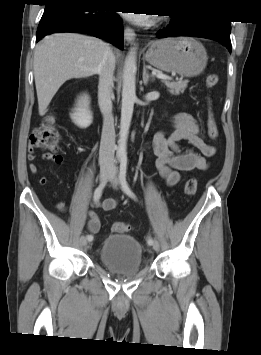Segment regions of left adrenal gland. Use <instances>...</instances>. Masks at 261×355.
<instances>
[{
    "instance_id": "a2214340",
    "label": "left adrenal gland",
    "mask_w": 261,
    "mask_h": 355,
    "mask_svg": "<svg viewBox=\"0 0 261 355\" xmlns=\"http://www.w3.org/2000/svg\"><path fill=\"white\" fill-rule=\"evenodd\" d=\"M143 83L145 86H147L148 82L149 81H153L154 80V77L153 76H150L148 71H147V68L144 66L143 68Z\"/></svg>"
}]
</instances>
